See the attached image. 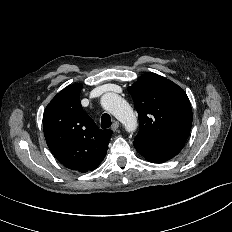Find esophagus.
Segmentation results:
<instances>
[{"instance_id": "1", "label": "esophagus", "mask_w": 232, "mask_h": 232, "mask_svg": "<svg viewBox=\"0 0 232 232\" xmlns=\"http://www.w3.org/2000/svg\"><path fill=\"white\" fill-rule=\"evenodd\" d=\"M119 122L118 121H115L113 124H112V127H111V129L113 130V131H117V129L119 128Z\"/></svg>"}]
</instances>
